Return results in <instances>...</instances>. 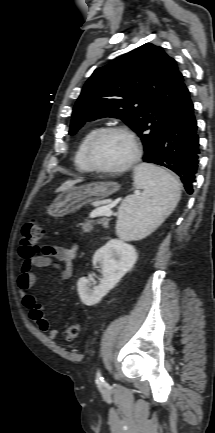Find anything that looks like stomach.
I'll return each mask as SVG.
<instances>
[{
	"label": "stomach",
	"instance_id": "0dacf381",
	"mask_svg": "<svg viewBox=\"0 0 215 433\" xmlns=\"http://www.w3.org/2000/svg\"><path fill=\"white\" fill-rule=\"evenodd\" d=\"M119 190L114 182H93L79 187H72L61 194L48 208V214L63 217L79 210L82 206L111 196Z\"/></svg>",
	"mask_w": 215,
	"mask_h": 433
}]
</instances>
